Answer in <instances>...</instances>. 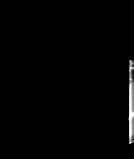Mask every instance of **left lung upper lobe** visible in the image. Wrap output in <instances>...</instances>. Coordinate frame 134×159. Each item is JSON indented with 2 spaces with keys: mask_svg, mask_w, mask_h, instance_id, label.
Masks as SVG:
<instances>
[{
  "mask_svg": "<svg viewBox=\"0 0 134 159\" xmlns=\"http://www.w3.org/2000/svg\"><path fill=\"white\" fill-rule=\"evenodd\" d=\"M71 108L82 120L100 118L107 105V98L96 80L80 81L70 90Z\"/></svg>",
  "mask_w": 134,
  "mask_h": 159,
  "instance_id": "1",
  "label": "left lung upper lobe"
}]
</instances>
